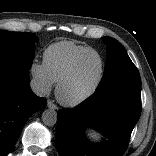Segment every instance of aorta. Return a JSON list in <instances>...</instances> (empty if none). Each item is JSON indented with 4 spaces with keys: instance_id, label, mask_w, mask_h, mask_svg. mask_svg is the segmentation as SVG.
<instances>
[{
    "instance_id": "1",
    "label": "aorta",
    "mask_w": 156,
    "mask_h": 156,
    "mask_svg": "<svg viewBox=\"0 0 156 156\" xmlns=\"http://www.w3.org/2000/svg\"><path fill=\"white\" fill-rule=\"evenodd\" d=\"M42 121L47 126H54L57 123V112L52 109H46L42 113Z\"/></svg>"
}]
</instances>
